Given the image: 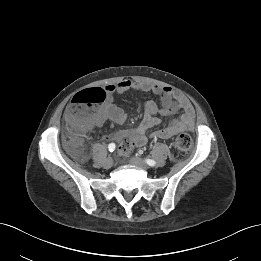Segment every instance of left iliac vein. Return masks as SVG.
Instances as JSON below:
<instances>
[{
	"instance_id": "1",
	"label": "left iliac vein",
	"mask_w": 261,
	"mask_h": 261,
	"mask_svg": "<svg viewBox=\"0 0 261 261\" xmlns=\"http://www.w3.org/2000/svg\"><path fill=\"white\" fill-rule=\"evenodd\" d=\"M130 164L136 166V167H139L143 170H148L149 169V166L145 163L144 160L138 158V157H131L130 160H129Z\"/></svg>"
}]
</instances>
